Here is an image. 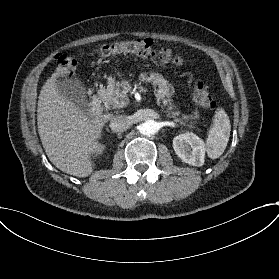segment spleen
Segmentation results:
<instances>
[{
    "instance_id": "3e777b00",
    "label": "spleen",
    "mask_w": 279,
    "mask_h": 279,
    "mask_svg": "<svg viewBox=\"0 0 279 279\" xmlns=\"http://www.w3.org/2000/svg\"><path fill=\"white\" fill-rule=\"evenodd\" d=\"M230 120L224 110L218 109L213 117V125L209 130L205 150L209 159H218L226 150L230 139Z\"/></svg>"
}]
</instances>
